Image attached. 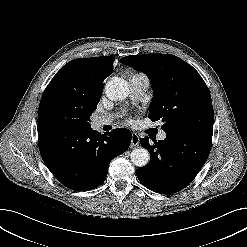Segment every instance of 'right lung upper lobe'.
I'll list each match as a JSON object with an SVG mask.
<instances>
[{"mask_svg":"<svg viewBox=\"0 0 247 247\" xmlns=\"http://www.w3.org/2000/svg\"><path fill=\"white\" fill-rule=\"evenodd\" d=\"M72 62L78 65L82 80L91 89L101 93L104 79L113 71L114 58L111 56L78 58Z\"/></svg>","mask_w":247,"mask_h":247,"instance_id":"right-lung-upper-lobe-1","label":"right lung upper lobe"}]
</instances>
